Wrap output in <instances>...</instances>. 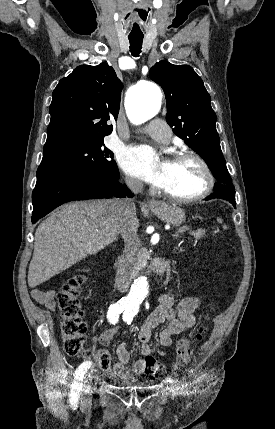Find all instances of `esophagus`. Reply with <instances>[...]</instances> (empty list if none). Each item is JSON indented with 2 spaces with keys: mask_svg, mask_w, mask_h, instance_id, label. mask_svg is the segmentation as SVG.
Wrapping results in <instances>:
<instances>
[{
  "mask_svg": "<svg viewBox=\"0 0 275 429\" xmlns=\"http://www.w3.org/2000/svg\"><path fill=\"white\" fill-rule=\"evenodd\" d=\"M147 203L150 207H158L160 205V203L155 199H149Z\"/></svg>",
  "mask_w": 275,
  "mask_h": 429,
  "instance_id": "esophagus-1",
  "label": "esophagus"
}]
</instances>
